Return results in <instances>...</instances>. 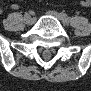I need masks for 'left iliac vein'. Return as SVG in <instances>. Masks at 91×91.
I'll return each mask as SVG.
<instances>
[{
	"label": "left iliac vein",
	"instance_id": "1",
	"mask_svg": "<svg viewBox=\"0 0 91 91\" xmlns=\"http://www.w3.org/2000/svg\"><path fill=\"white\" fill-rule=\"evenodd\" d=\"M48 14L51 15V16H53V17H55V18H57L58 20L64 22L61 14H59L58 12L50 10V11H48Z\"/></svg>",
	"mask_w": 91,
	"mask_h": 91
}]
</instances>
